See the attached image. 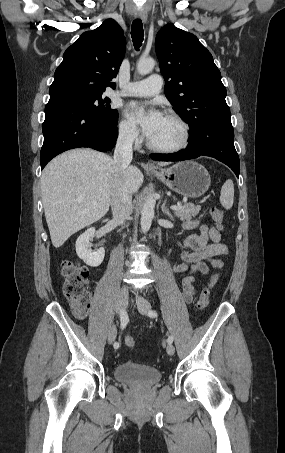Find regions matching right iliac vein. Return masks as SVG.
Listing matches in <instances>:
<instances>
[{"instance_id":"obj_1","label":"right iliac vein","mask_w":285,"mask_h":453,"mask_svg":"<svg viewBox=\"0 0 285 453\" xmlns=\"http://www.w3.org/2000/svg\"><path fill=\"white\" fill-rule=\"evenodd\" d=\"M128 297H129V291L127 286H123L120 289L119 295H118V301H117V312L120 314L122 310H124L127 306L128 303ZM117 335V329L116 326L113 325L108 332V343L112 344L116 338Z\"/></svg>"}]
</instances>
